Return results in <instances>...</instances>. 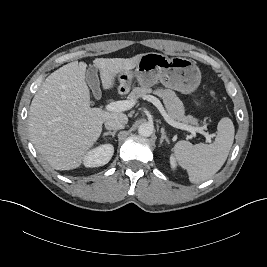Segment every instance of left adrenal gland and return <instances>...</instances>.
<instances>
[{"label":"left adrenal gland","instance_id":"obj_1","mask_svg":"<svg viewBox=\"0 0 267 267\" xmlns=\"http://www.w3.org/2000/svg\"><path fill=\"white\" fill-rule=\"evenodd\" d=\"M161 138H160V144H162L164 141H166L167 143H169V140L166 136V133H165V129L164 128H161Z\"/></svg>","mask_w":267,"mask_h":267}]
</instances>
